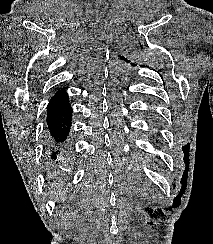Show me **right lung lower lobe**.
I'll list each match as a JSON object with an SVG mask.
<instances>
[{"label": "right lung lower lobe", "instance_id": "1", "mask_svg": "<svg viewBox=\"0 0 213 244\" xmlns=\"http://www.w3.org/2000/svg\"><path fill=\"white\" fill-rule=\"evenodd\" d=\"M46 122L51 158L54 160L67 158L71 150L69 133L72 124V108L65 90H58L49 101Z\"/></svg>", "mask_w": 213, "mask_h": 244}]
</instances>
